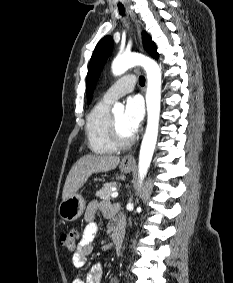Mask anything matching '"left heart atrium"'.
<instances>
[{
  "label": "left heart atrium",
  "mask_w": 233,
  "mask_h": 283,
  "mask_svg": "<svg viewBox=\"0 0 233 283\" xmlns=\"http://www.w3.org/2000/svg\"><path fill=\"white\" fill-rule=\"evenodd\" d=\"M144 118V104L139 96L129 97L124 111V123L127 130L134 134Z\"/></svg>",
  "instance_id": "obj_1"
}]
</instances>
